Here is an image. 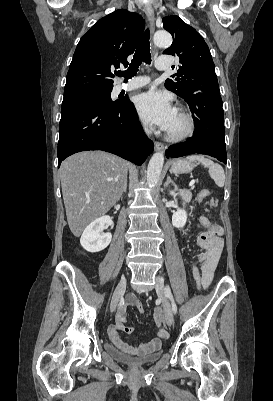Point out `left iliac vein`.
Returning <instances> with one entry per match:
<instances>
[{
	"label": "left iliac vein",
	"mask_w": 273,
	"mask_h": 401,
	"mask_svg": "<svg viewBox=\"0 0 273 401\" xmlns=\"http://www.w3.org/2000/svg\"><path fill=\"white\" fill-rule=\"evenodd\" d=\"M155 289L157 291L158 296L163 300L165 321H166L167 325L171 326L174 321V316H173L171 303L169 302L168 298L166 297V288H165L164 281L162 278L156 277Z\"/></svg>",
	"instance_id": "4c4485c4"
}]
</instances>
